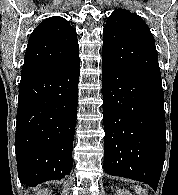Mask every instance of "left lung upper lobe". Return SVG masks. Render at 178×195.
Instances as JSON below:
<instances>
[{
    "label": "left lung upper lobe",
    "instance_id": "obj_1",
    "mask_svg": "<svg viewBox=\"0 0 178 195\" xmlns=\"http://www.w3.org/2000/svg\"><path fill=\"white\" fill-rule=\"evenodd\" d=\"M105 60L161 83L154 37L137 14L117 9L103 30Z\"/></svg>",
    "mask_w": 178,
    "mask_h": 195
}]
</instances>
